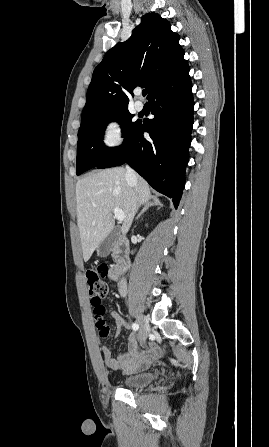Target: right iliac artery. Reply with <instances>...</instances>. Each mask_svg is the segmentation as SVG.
<instances>
[{
	"mask_svg": "<svg viewBox=\"0 0 269 447\" xmlns=\"http://www.w3.org/2000/svg\"><path fill=\"white\" fill-rule=\"evenodd\" d=\"M132 328H133V330H138V328H139V325L137 324V323H133L132 324Z\"/></svg>",
	"mask_w": 269,
	"mask_h": 447,
	"instance_id": "82829eb1",
	"label": "right iliac artery"
}]
</instances>
